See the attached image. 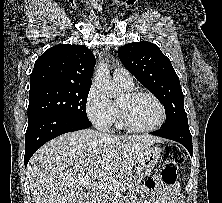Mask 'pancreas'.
<instances>
[{
  "label": "pancreas",
  "mask_w": 222,
  "mask_h": 203,
  "mask_svg": "<svg viewBox=\"0 0 222 203\" xmlns=\"http://www.w3.org/2000/svg\"><path fill=\"white\" fill-rule=\"evenodd\" d=\"M115 182H119L120 186L116 192H119L122 187L126 185H135L140 181H137L136 176L133 172H127L126 174L120 176ZM101 203H116L115 202V192L105 191L99 198Z\"/></svg>",
  "instance_id": "pancreas-1"
}]
</instances>
